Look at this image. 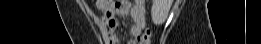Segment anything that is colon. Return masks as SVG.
<instances>
[{
    "label": "colon",
    "instance_id": "obj_1",
    "mask_svg": "<svg viewBox=\"0 0 261 44\" xmlns=\"http://www.w3.org/2000/svg\"><path fill=\"white\" fill-rule=\"evenodd\" d=\"M116 6L118 8H122L123 6L131 5V2L128 1H112V0H104L98 1V6ZM152 31L150 28H146L142 34L136 39L137 44H150L151 43Z\"/></svg>",
    "mask_w": 261,
    "mask_h": 44
}]
</instances>
